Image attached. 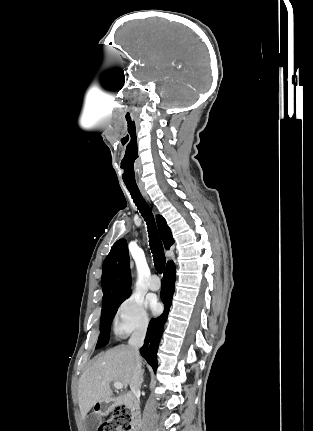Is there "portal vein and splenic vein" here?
Segmentation results:
<instances>
[{"mask_svg":"<svg viewBox=\"0 0 313 431\" xmlns=\"http://www.w3.org/2000/svg\"><path fill=\"white\" fill-rule=\"evenodd\" d=\"M114 388L121 390L123 388V384L121 382H114Z\"/></svg>","mask_w":313,"mask_h":431,"instance_id":"18ae733b","label":"portal vein and splenic vein"}]
</instances>
